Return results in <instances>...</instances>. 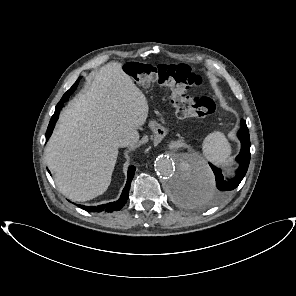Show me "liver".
I'll use <instances>...</instances> for the list:
<instances>
[{"label":"liver","mask_w":296,"mask_h":296,"mask_svg":"<svg viewBox=\"0 0 296 296\" xmlns=\"http://www.w3.org/2000/svg\"><path fill=\"white\" fill-rule=\"evenodd\" d=\"M149 106L122 64L113 62L92 74L89 87L61 113L46 147L56 186L73 201L103 194L118 157L117 141L139 140Z\"/></svg>","instance_id":"1"}]
</instances>
